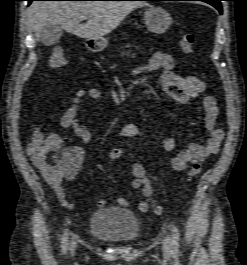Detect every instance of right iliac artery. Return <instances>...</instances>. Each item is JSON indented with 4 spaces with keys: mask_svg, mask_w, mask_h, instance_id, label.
<instances>
[{
    "mask_svg": "<svg viewBox=\"0 0 247 265\" xmlns=\"http://www.w3.org/2000/svg\"><path fill=\"white\" fill-rule=\"evenodd\" d=\"M61 247H62L63 253H66L67 249H68V233H67V231H65L63 236H62Z\"/></svg>",
    "mask_w": 247,
    "mask_h": 265,
    "instance_id": "obj_1",
    "label": "right iliac artery"
}]
</instances>
